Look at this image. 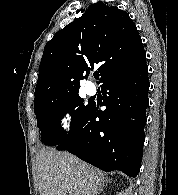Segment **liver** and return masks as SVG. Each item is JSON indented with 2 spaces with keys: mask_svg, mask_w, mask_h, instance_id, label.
<instances>
[{
  "mask_svg": "<svg viewBox=\"0 0 178 195\" xmlns=\"http://www.w3.org/2000/svg\"><path fill=\"white\" fill-rule=\"evenodd\" d=\"M40 195H97L104 173L67 152L42 149L37 154Z\"/></svg>",
  "mask_w": 178,
  "mask_h": 195,
  "instance_id": "6515ba94",
  "label": "liver"
}]
</instances>
